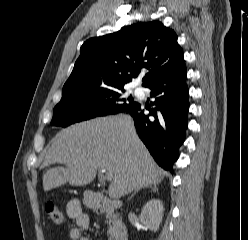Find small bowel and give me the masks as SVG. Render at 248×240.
I'll return each instance as SVG.
<instances>
[{"instance_id":"c3829d8e","label":"small bowel","mask_w":248,"mask_h":240,"mask_svg":"<svg viewBox=\"0 0 248 240\" xmlns=\"http://www.w3.org/2000/svg\"><path fill=\"white\" fill-rule=\"evenodd\" d=\"M66 213L75 222V226L69 228L68 237L70 240H90L83 235V231L90 225L89 216L83 211L78 200H71L67 203Z\"/></svg>"}]
</instances>
